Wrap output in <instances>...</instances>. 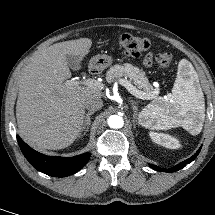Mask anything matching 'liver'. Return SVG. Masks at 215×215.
<instances>
[{
  "label": "liver",
  "instance_id": "obj_1",
  "mask_svg": "<svg viewBox=\"0 0 215 215\" xmlns=\"http://www.w3.org/2000/svg\"><path fill=\"white\" fill-rule=\"evenodd\" d=\"M92 41L80 38L53 44L35 52L22 68L16 118L20 135L39 149H63L80 134L87 97L100 90L66 84L71 77L67 55L78 62L89 53Z\"/></svg>",
  "mask_w": 215,
  "mask_h": 215
}]
</instances>
